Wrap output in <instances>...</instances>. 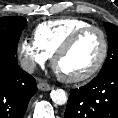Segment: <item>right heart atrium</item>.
I'll list each match as a JSON object with an SVG mask.
<instances>
[{
    "label": "right heart atrium",
    "mask_w": 118,
    "mask_h": 118,
    "mask_svg": "<svg viewBox=\"0 0 118 118\" xmlns=\"http://www.w3.org/2000/svg\"><path fill=\"white\" fill-rule=\"evenodd\" d=\"M17 51L22 65L27 71H33L38 65L44 64L49 59L34 39H22Z\"/></svg>",
    "instance_id": "d8ad5b80"
}]
</instances>
